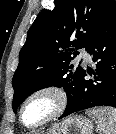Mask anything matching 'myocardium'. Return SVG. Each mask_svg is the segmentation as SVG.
<instances>
[{"label": "myocardium", "mask_w": 116, "mask_h": 134, "mask_svg": "<svg viewBox=\"0 0 116 134\" xmlns=\"http://www.w3.org/2000/svg\"><path fill=\"white\" fill-rule=\"evenodd\" d=\"M41 96L50 97L53 100L54 103L53 109L38 123L31 125L27 124L24 121V110L26 106L33 99ZM66 106H67V95L61 87L56 85L43 86L32 91L21 103L19 108V120L21 124L26 128L30 129L39 128L59 118L64 113Z\"/></svg>", "instance_id": "myocardium-1"}]
</instances>
